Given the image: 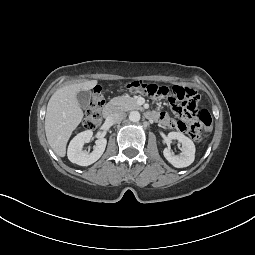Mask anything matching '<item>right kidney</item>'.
<instances>
[{"instance_id":"1","label":"right kidney","mask_w":255,"mask_h":255,"mask_svg":"<svg viewBox=\"0 0 255 255\" xmlns=\"http://www.w3.org/2000/svg\"><path fill=\"white\" fill-rule=\"evenodd\" d=\"M93 136L91 130H86L77 134L68 146V159L75 164L80 166H89L96 162L103 154L106 148L107 140L105 138H100L95 141L94 150L91 153H86L82 151V147L85 143L90 142Z\"/></svg>"}]
</instances>
